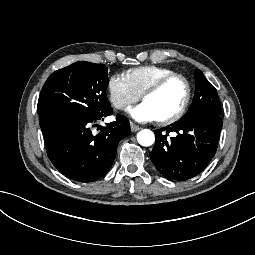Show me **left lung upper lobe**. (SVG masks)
I'll return each instance as SVG.
<instances>
[{"instance_id": "left-lung-upper-lobe-1", "label": "left lung upper lobe", "mask_w": 255, "mask_h": 255, "mask_svg": "<svg viewBox=\"0 0 255 255\" xmlns=\"http://www.w3.org/2000/svg\"><path fill=\"white\" fill-rule=\"evenodd\" d=\"M195 80L196 89L194 99L184 117L198 111H210L221 114L217 91L199 69L195 70Z\"/></svg>"}]
</instances>
